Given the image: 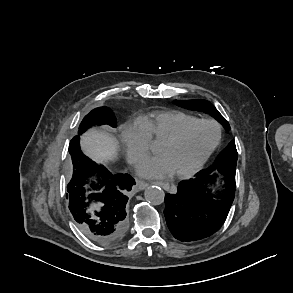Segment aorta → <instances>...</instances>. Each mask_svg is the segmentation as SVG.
<instances>
[{"mask_svg": "<svg viewBox=\"0 0 293 293\" xmlns=\"http://www.w3.org/2000/svg\"><path fill=\"white\" fill-rule=\"evenodd\" d=\"M165 192L158 186H151L145 190V199L153 205L164 202Z\"/></svg>", "mask_w": 293, "mask_h": 293, "instance_id": "762f6f07", "label": "aorta"}]
</instances>
